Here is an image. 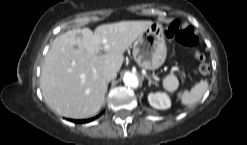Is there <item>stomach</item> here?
<instances>
[{
  "instance_id": "1",
  "label": "stomach",
  "mask_w": 247,
  "mask_h": 145,
  "mask_svg": "<svg viewBox=\"0 0 247 145\" xmlns=\"http://www.w3.org/2000/svg\"><path fill=\"white\" fill-rule=\"evenodd\" d=\"M166 55L164 28L154 22L134 42V60L143 69L155 70L165 62Z\"/></svg>"
}]
</instances>
